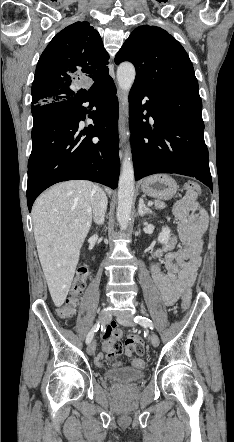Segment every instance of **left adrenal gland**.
Segmentation results:
<instances>
[{"mask_svg":"<svg viewBox=\"0 0 234 442\" xmlns=\"http://www.w3.org/2000/svg\"><path fill=\"white\" fill-rule=\"evenodd\" d=\"M138 214H139L140 216H142V217H143L145 214H152V210H151L150 208H148V207L145 205V203H144V201H143L142 198H140V200H139Z\"/></svg>","mask_w":234,"mask_h":442,"instance_id":"a2214340","label":"left adrenal gland"}]
</instances>
